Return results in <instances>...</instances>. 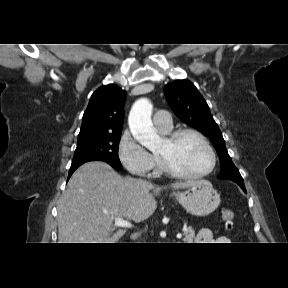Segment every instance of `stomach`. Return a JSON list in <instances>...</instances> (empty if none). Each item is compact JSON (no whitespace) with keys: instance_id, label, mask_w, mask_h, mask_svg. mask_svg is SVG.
I'll return each mask as SVG.
<instances>
[{"instance_id":"0dacf381","label":"stomach","mask_w":288,"mask_h":288,"mask_svg":"<svg viewBox=\"0 0 288 288\" xmlns=\"http://www.w3.org/2000/svg\"><path fill=\"white\" fill-rule=\"evenodd\" d=\"M177 201L192 215L207 216L220 204V195L209 183H198L174 193Z\"/></svg>"}]
</instances>
